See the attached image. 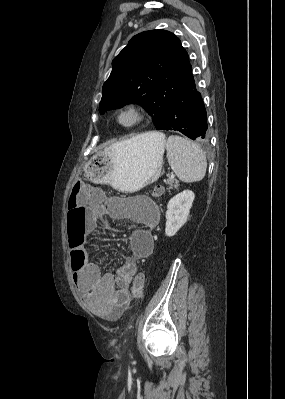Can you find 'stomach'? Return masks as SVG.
Segmentation results:
<instances>
[{"instance_id":"obj_1","label":"stomach","mask_w":285,"mask_h":399,"mask_svg":"<svg viewBox=\"0 0 285 399\" xmlns=\"http://www.w3.org/2000/svg\"><path fill=\"white\" fill-rule=\"evenodd\" d=\"M165 136L138 135L97 152L85 164L93 183L110 184L122 192H136L155 182L161 174Z\"/></svg>"}]
</instances>
